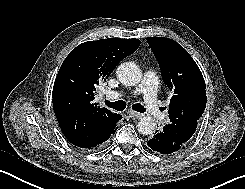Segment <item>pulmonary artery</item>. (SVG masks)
Wrapping results in <instances>:
<instances>
[{
	"label": "pulmonary artery",
	"instance_id": "1",
	"mask_svg": "<svg viewBox=\"0 0 245 189\" xmlns=\"http://www.w3.org/2000/svg\"><path fill=\"white\" fill-rule=\"evenodd\" d=\"M156 85L157 75L155 72L148 70L144 73L140 84L131 92V94H137L144 92L146 104L154 111H157V100H156ZM129 93L117 91L113 92L112 97L114 99H121L127 97Z\"/></svg>",
	"mask_w": 245,
	"mask_h": 189
}]
</instances>
